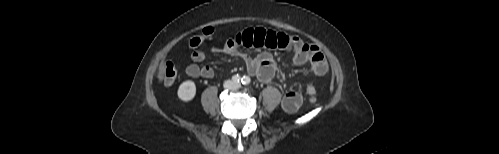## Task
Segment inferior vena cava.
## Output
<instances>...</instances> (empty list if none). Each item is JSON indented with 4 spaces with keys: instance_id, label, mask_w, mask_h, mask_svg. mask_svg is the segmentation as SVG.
Instances as JSON below:
<instances>
[{
    "instance_id": "602c4592",
    "label": "inferior vena cava",
    "mask_w": 499,
    "mask_h": 154,
    "mask_svg": "<svg viewBox=\"0 0 499 154\" xmlns=\"http://www.w3.org/2000/svg\"><path fill=\"white\" fill-rule=\"evenodd\" d=\"M224 87H225L226 89H236V88H237V86H236V85H235L232 81H230V80H229V81H226V82L224 83Z\"/></svg>"
}]
</instances>
